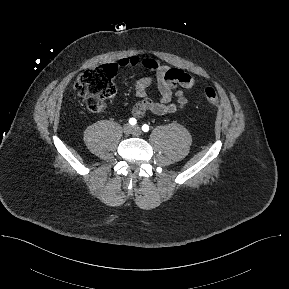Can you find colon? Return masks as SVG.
<instances>
[{
    "instance_id": "5ec220e1",
    "label": "colon",
    "mask_w": 289,
    "mask_h": 289,
    "mask_svg": "<svg viewBox=\"0 0 289 289\" xmlns=\"http://www.w3.org/2000/svg\"><path fill=\"white\" fill-rule=\"evenodd\" d=\"M113 65L99 66L85 71L74 84V92L85 99L87 107L93 112H100L105 108V102L115 94ZM206 100L213 106L219 104L216 91L207 87L204 89Z\"/></svg>"
}]
</instances>
